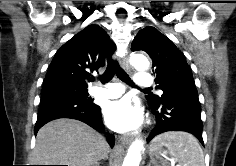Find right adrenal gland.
<instances>
[{
	"instance_id": "1",
	"label": "right adrenal gland",
	"mask_w": 236,
	"mask_h": 166,
	"mask_svg": "<svg viewBox=\"0 0 236 166\" xmlns=\"http://www.w3.org/2000/svg\"><path fill=\"white\" fill-rule=\"evenodd\" d=\"M93 166H99V163L94 164Z\"/></svg>"
}]
</instances>
